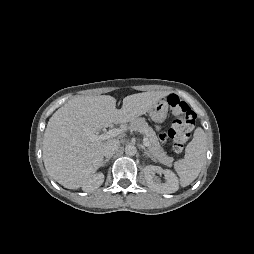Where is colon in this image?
Here are the masks:
<instances>
[{
    "instance_id": "obj_1",
    "label": "colon",
    "mask_w": 254,
    "mask_h": 254,
    "mask_svg": "<svg viewBox=\"0 0 254 254\" xmlns=\"http://www.w3.org/2000/svg\"><path fill=\"white\" fill-rule=\"evenodd\" d=\"M167 100L172 112L178 117L173 121L169 130L162 135V138H168L174 151L180 152L191 137L196 114L186 102L176 95H170Z\"/></svg>"
}]
</instances>
